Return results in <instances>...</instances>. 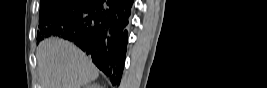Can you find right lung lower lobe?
Returning <instances> with one entry per match:
<instances>
[{
	"label": "right lung lower lobe",
	"instance_id": "1",
	"mask_svg": "<svg viewBox=\"0 0 267 88\" xmlns=\"http://www.w3.org/2000/svg\"><path fill=\"white\" fill-rule=\"evenodd\" d=\"M133 0H81L73 10L44 27V37L59 36L89 54L119 85L127 50Z\"/></svg>",
	"mask_w": 267,
	"mask_h": 88
}]
</instances>
